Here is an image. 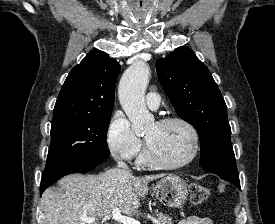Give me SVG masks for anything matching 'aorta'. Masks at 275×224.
Wrapping results in <instances>:
<instances>
[{
	"label": "aorta",
	"mask_w": 275,
	"mask_h": 224,
	"mask_svg": "<svg viewBox=\"0 0 275 224\" xmlns=\"http://www.w3.org/2000/svg\"><path fill=\"white\" fill-rule=\"evenodd\" d=\"M149 74L148 64L138 61L124 72L119 83L120 104L131 121L136 135L144 133L154 123V117L147 110L144 99Z\"/></svg>",
	"instance_id": "1"
}]
</instances>
